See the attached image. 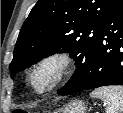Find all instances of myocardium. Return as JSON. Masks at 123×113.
Instances as JSON below:
<instances>
[{
    "label": "myocardium",
    "mask_w": 123,
    "mask_h": 113,
    "mask_svg": "<svg viewBox=\"0 0 123 113\" xmlns=\"http://www.w3.org/2000/svg\"><path fill=\"white\" fill-rule=\"evenodd\" d=\"M72 64L73 58L68 52L43 55L28 69L26 82L34 93L43 95L69 77Z\"/></svg>",
    "instance_id": "f54148a6"
}]
</instances>
